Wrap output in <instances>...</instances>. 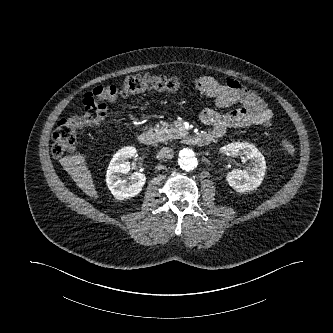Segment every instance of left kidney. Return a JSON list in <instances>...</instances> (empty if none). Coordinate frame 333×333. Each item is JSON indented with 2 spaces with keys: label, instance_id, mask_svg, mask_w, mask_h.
<instances>
[{
  "label": "left kidney",
  "instance_id": "1",
  "mask_svg": "<svg viewBox=\"0 0 333 333\" xmlns=\"http://www.w3.org/2000/svg\"><path fill=\"white\" fill-rule=\"evenodd\" d=\"M221 152L232 156L245 155L251 160V168L247 170H232L226 180L238 192L252 191L257 188L265 175L266 162L261 152L253 145L245 142H232L221 148Z\"/></svg>",
  "mask_w": 333,
  "mask_h": 333
}]
</instances>
